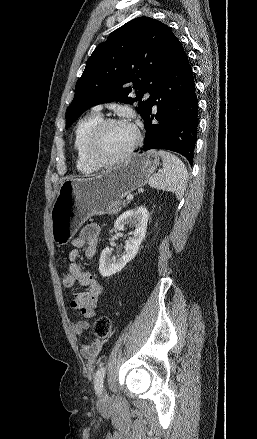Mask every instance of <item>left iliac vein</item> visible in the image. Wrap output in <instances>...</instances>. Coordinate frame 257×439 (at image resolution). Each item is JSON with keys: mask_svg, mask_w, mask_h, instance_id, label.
<instances>
[{"mask_svg": "<svg viewBox=\"0 0 257 439\" xmlns=\"http://www.w3.org/2000/svg\"><path fill=\"white\" fill-rule=\"evenodd\" d=\"M107 399H108V395H107L106 389L103 388L101 391L99 401H106Z\"/></svg>", "mask_w": 257, "mask_h": 439, "instance_id": "1", "label": "left iliac vein"}]
</instances>
